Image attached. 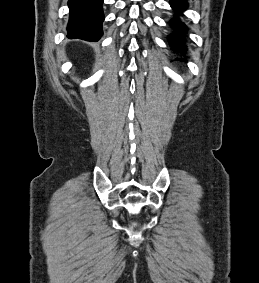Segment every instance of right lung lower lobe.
<instances>
[{
  "instance_id": "98d812e1",
  "label": "right lung lower lobe",
  "mask_w": 259,
  "mask_h": 283,
  "mask_svg": "<svg viewBox=\"0 0 259 283\" xmlns=\"http://www.w3.org/2000/svg\"><path fill=\"white\" fill-rule=\"evenodd\" d=\"M103 0H69L68 38L98 41L102 36Z\"/></svg>"
}]
</instances>
